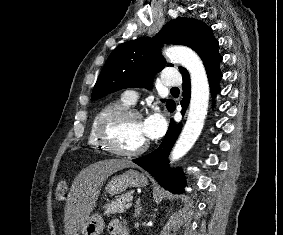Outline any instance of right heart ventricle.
<instances>
[{
    "label": "right heart ventricle",
    "mask_w": 283,
    "mask_h": 235,
    "mask_svg": "<svg viewBox=\"0 0 283 235\" xmlns=\"http://www.w3.org/2000/svg\"><path fill=\"white\" fill-rule=\"evenodd\" d=\"M128 103L122 98L118 100H112L104 103L93 115L89 129L87 133V144L92 149H102V145L100 144L97 138V128L101 122V120L108 115L109 113L128 107Z\"/></svg>",
    "instance_id": "right-heart-ventricle-1"
}]
</instances>
